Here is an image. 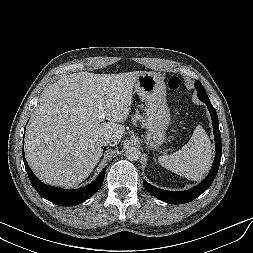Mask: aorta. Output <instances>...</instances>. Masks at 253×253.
Listing matches in <instances>:
<instances>
[{"label":"aorta","instance_id":"1","mask_svg":"<svg viewBox=\"0 0 253 253\" xmlns=\"http://www.w3.org/2000/svg\"><path fill=\"white\" fill-rule=\"evenodd\" d=\"M126 157L130 161H137L141 157V151L137 147H129L126 150Z\"/></svg>","mask_w":253,"mask_h":253}]
</instances>
